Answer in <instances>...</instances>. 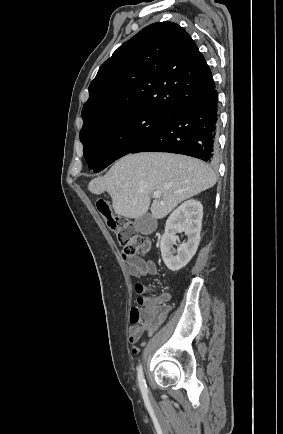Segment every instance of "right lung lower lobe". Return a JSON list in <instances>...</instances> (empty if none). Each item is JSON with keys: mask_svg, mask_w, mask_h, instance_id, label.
Instances as JSON below:
<instances>
[{"mask_svg": "<svg viewBox=\"0 0 283 434\" xmlns=\"http://www.w3.org/2000/svg\"><path fill=\"white\" fill-rule=\"evenodd\" d=\"M217 91L191 100L169 118L130 153L170 152L189 155L203 161L216 159L217 150Z\"/></svg>", "mask_w": 283, "mask_h": 434, "instance_id": "obj_1", "label": "right lung lower lobe"}]
</instances>
